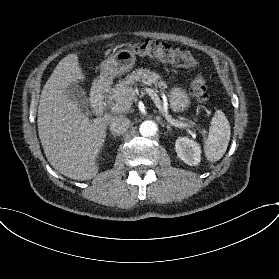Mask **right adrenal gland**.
Segmentation results:
<instances>
[{
    "instance_id": "1",
    "label": "right adrenal gland",
    "mask_w": 279,
    "mask_h": 279,
    "mask_svg": "<svg viewBox=\"0 0 279 279\" xmlns=\"http://www.w3.org/2000/svg\"><path fill=\"white\" fill-rule=\"evenodd\" d=\"M117 136H119V135H116V134H109V137H113L114 140H116V137H117Z\"/></svg>"
}]
</instances>
